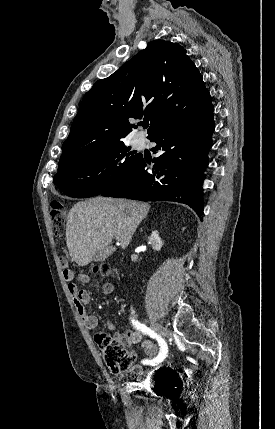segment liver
<instances>
[{
  "label": "liver",
  "instance_id": "obj_1",
  "mask_svg": "<svg viewBox=\"0 0 275 429\" xmlns=\"http://www.w3.org/2000/svg\"><path fill=\"white\" fill-rule=\"evenodd\" d=\"M150 205L126 199L95 197L76 203L68 213L66 243L72 259L88 265L94 253L115 238L125 249Z\"/></svg>",
  "mask_w": 275,
  "mask_h": 429
}]
</instances>
